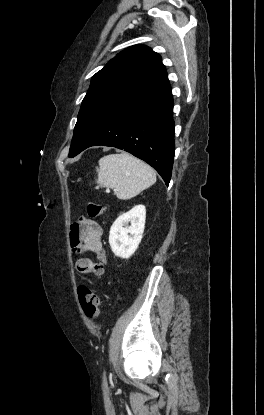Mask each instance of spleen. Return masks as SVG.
Segmentation results:
<instances>
[{"label": "spleen", "instance_id": "spleen-1", "mask_svg": "<svg viewBox=\"0 0 264 415\" xmlns=\"http://www.w3.org/2000/svg\"><path fill=\"white\" fill-rule=\"evenodd\" d=\"M96 171L97 184L112 188L122 200L135 197L156 182V173L149 165L124 152L102 157Z\"/></svg>", "mask_w": 264, "mask_h": 415}]
</instances>
